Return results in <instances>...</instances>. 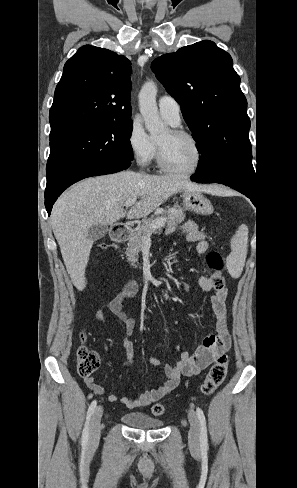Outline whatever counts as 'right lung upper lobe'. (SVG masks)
<instances>
[{
    "mask_svg": "<svg viewBox=\"0 0 297 488\" xmlns=\"http://www.w3.org/2000/svg\"><path fill=\"white\" fill-rule=\"evenodd\" d=\"M131 62L85 45L66 62L49 113L51 133L70 127L131 120Z\"/></svg>",
    "mask_w": 297,
    "mask_h": 488,
    "instance_id": "cb5924a9",
    "label": "right lung upper lobe"
}]
</instances>
